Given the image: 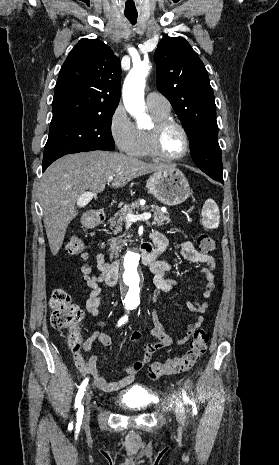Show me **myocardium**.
Wrapping results in <instances>:
<instances>
[{
  "instance_id": "f54148a6",
  "label": "myocardium",
  "mask_w": 279,
  "mask_h": 465,
  "mask_svg": "<svg viewBox=\"0 0 279 465\" xmlns=\"http://www.w3.org/2000/svg\"><path fill=\"white\" fill-rule=\"evenodd\" d=\"M169 126H176L180 130L183 137V149L176 155L164 154L159 146L160 136L162 132ZM148 144L152 156L163 161L172 162L181 160L188 154L190 149V138L185 126L181 122L168 117L154 121L153 125L148 129Z\"/></svg>"
}]
</instances>
